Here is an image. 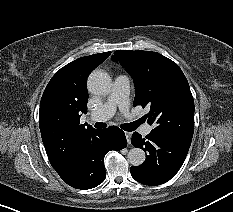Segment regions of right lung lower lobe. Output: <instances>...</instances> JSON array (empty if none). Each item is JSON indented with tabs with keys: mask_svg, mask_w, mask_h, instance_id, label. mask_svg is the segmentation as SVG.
I'll return each mask as SVG.
<instances>
[{
	"mask_svg": "<svg viewBox=\"0 0 233 212\" xmlns=\"http://www.w3.org/2000/svg\"><path fill=\"white\" fill-rule=\"evenodd\" d=\"M127 146L124 132L116 126L97 132L87 141L82 154L63 171L60 177L77 189H91L105 180L104 156L111 150Z\"/></svg>",
	"mask_w": 233,
	"mask_h": 212,
	"instance_id": "98d812e1",
	"label": "right lung lower lobe"
}]
</instances>
